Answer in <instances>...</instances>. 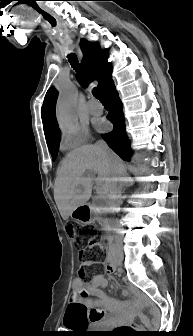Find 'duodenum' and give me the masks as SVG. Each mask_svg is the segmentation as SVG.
Masks as SVG:
<instances>
[{
    "mask_svg": "<svg viewBox=\"0 0 193 336\" xmlns=\"http://www.w3.org/2000/svg\"><path fill=\"white\" fill-rule=\"evenodd\" d=\"M108 263L112 268L115 267L116 261H115L114 249H113L112 245H110V247H109Z\"/></svg>",
    "mask_w": 193,
    "mask_h": 336,
    "instance_id": "410a0bca",
    "label": "duodenum"
}]
</instances>
